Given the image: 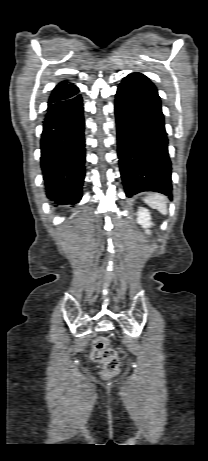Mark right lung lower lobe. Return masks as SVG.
Returning <instances> with one entry per match:
<instances>
[{"instance_id": "1", "label": "right lung lower lobe", "mask_w": 208, "mask_h": 461, "mask_svg": "<svg viewBox=\"0 0 208 461\" xmlns=\"http://www.w3.org/2000/svg\"><path fill=\"white\" fill-rule=\"evenodd\" d=\"M84 127L80 94L48 104L41 136V168L47 196L56 204H75L82 197Z\"/></svg>"}]
</instances>
